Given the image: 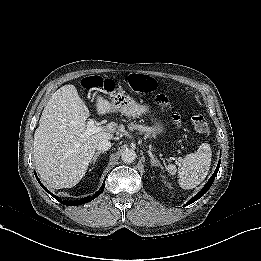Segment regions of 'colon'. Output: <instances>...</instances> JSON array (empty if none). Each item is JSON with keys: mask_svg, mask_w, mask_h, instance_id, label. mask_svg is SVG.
<instances>
[{"mask_svg": "<svg viewBox=\"0 0 261 261\" xmlns=\"http://www.w3.org/2000/svg\"><path fill=\"white\" fill-rule=\"evenodd\" d=\"M128 81L131 87L135 91L144 94L152 93L157 88L156 81L150 76L145 74H131L129 76ZM82 86L87 90H95L101 87L109 89L111 87V84H107V85L104 84V82L98 77H89L83 81ZM155 103L160 107L167 108L170 106L169 99L164 94L156 95ZM171 118L176 124H178L180 121V117L178 116L177 113H172ZM192 121L197 130L201 132H206L208 130V123L202 115L200 114L193 115Z\"/></svg>", "mask_w": 261, "mask_h": 261, "instance_id": "colon-1", "label": "colon"}]
</instances>
